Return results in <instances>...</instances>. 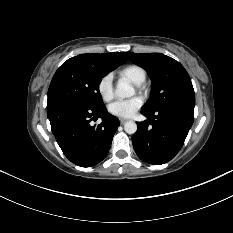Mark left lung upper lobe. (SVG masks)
Returning a JSON list of instances; mask_svg holds the SVG:
<instances>
[{
    "instance_id": "left-lung-upper-lobe-1",
    "label": "left lung upper lobe",
    "mask_w": 233,
    "mask_h": 233,
    "mask_svg": "<svg viewBox=\"0 0 233 233\" xmlns=\"http://www.w3.org/2000/svg\"><path fill=\"white\" fill-rule=\"evenodd\" d=\"M134 64L147 70L152 80V94L144 110L181 108L194 112L195 95L191 79L184 67L161 53L137 54L125 52Z\"/></svg>"
}]
</instances>
